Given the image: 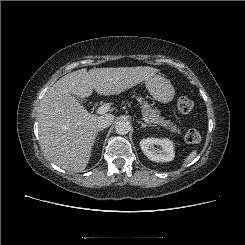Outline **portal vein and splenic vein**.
Here are the masks:
<instances>
[{
  "label": "portal vein and splenic vein",
  "instance_id": "18ae733b",
  "mask_svg": "<svg viewBox=\"0 0 245 245\" xmlns=\"http://www.w3.org/2000/svg\"><path fill=\"white\" fill-rule=\"evenodd\" d=\"M109 110H110V105L108 103H105L97 109V113L98 114H104V113L108 112ZM143 120L147 123H150V120L146 116H143Z\"/></svg>",
  "mask_w": 245,
  "mask_h": 245
}]
</instances>
